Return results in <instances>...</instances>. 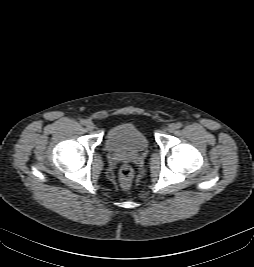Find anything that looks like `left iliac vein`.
Masks as SVG:
<instances>
[{"mask_svg": "<svg viewBox=\"0 0 254 267\" xmlns=\"http://www.w3.org/2000/svg\"><path fill=\"white\" fill-rule=\"evenodd\" d=\"M177 129L176 124L172 123L168 126L167 130L169 132H174Z\"/></svg>", "mask_w": 254, "mask_h": 267, "instance_id": "4c4485c4", "label": "left iliac vein"}]
</instances>
